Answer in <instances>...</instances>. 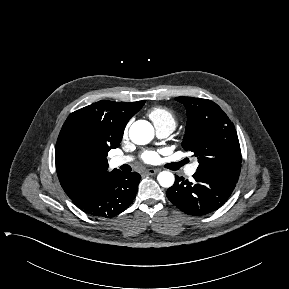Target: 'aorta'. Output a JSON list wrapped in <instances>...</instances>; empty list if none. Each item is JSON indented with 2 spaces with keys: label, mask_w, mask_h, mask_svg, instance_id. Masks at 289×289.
I'll use <instances>...</instances> for the list:
<instances>
[{
  "label": "aorta",
  "mask_w": 289,
  "mask_h": 289,
  "mask_svg": "<svg viewBox=\"0 0 289 289\" xmlns=\"http://www.w3.org/2000/svg\"><path fill=\"white\" fill-rule=\"evenodd\" d=\"M129 137L135 144H148L154 138V128L148 121L138 120L131 125ZM157 180L162 187L169 188L174 184L175 177L169 171H162L158 174Z\"/></svg>",
  "instance_id": "1"
}]
</instances>
